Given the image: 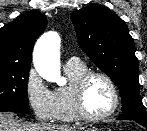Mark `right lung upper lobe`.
<instances>
[{
	"mask_svg": "<svg viewBox=\"0 0 147 131\" xmlns=\"http://www.w3.org/2000/svg\"><path fill=\"white\" fill-rule=\"evenodd\" d=\"M47 25L45 15L27 12L0 29V65L30 67L37 37Z\"/></svg>",
	"mask_w": 147,
	"mask_h": 131,
	"instance_id": "cb5924a9",
	"label": "right lung upper lobe"
}]
</instances>
